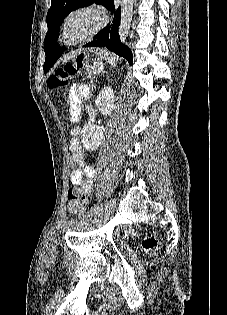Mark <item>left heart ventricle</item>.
Masks as SVG:
<instances>
[{
	"label": "left heart ventricle",
	"mask_w": 227,
	"mask_h": 315,
	"mask_svg": "<svg viewBox=\"0 0 227 315\" xmlns=\"http://www.w3.org/2000/svg\"><path fill=\"white\" fill-rule=\"evenodd\" d=\"M93 23V18L87 15L76 16L70 24V30L73 34L87 30Z\"/></svg>",
	"instance_id": "1"
}]
</instances>
